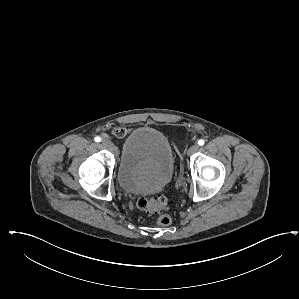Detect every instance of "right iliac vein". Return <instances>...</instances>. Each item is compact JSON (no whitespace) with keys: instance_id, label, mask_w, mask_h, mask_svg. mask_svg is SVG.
<instances>
[{"instance_id":"obj_1","label":"right iliac vein","mask_w":299,"mask_h":299,"mask_svg":"<svg viewBox=\"0 0 299 299\" xmlns=\"http://www.w3.org/2000/svg\"><path fill=\"white\" fill-rule=\"evenodd\" d=\"M102 144L104 147L108 148L109 150H112V151L114 150V145L109 139L104 138L102 140Z\"/></svg>"}]
</instances>
